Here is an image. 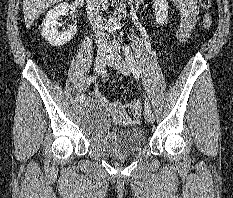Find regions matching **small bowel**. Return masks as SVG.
<instances>
[{"instance_id":"small-bowel-1","label":"small bowel","mask_w":233,"mask_h":198,"mask_svg":"<svg viewBox=\"0 0 233 198\" xmlns=\"http://www.w3.org/2000/svg\"><path fill=\"white\" fill-rule=\"evenodd\" d=\"M178 9V31L177 36L180 40H186L194 30L199 14V8L196 0H172ZM96 100L102 102L104 100L99 91L95 92ZM114 111L118 115H123V109L119 104L114 103Z\"/></svg>"}]
</instances>
